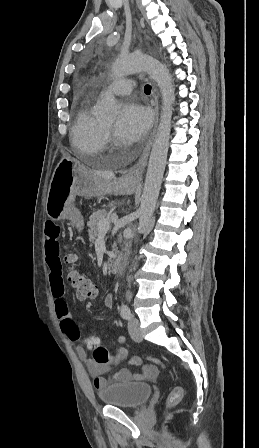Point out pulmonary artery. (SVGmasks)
<instances>
[{
  "label": "pulmonary artery",
  "mask_w": 259,
  "mask_h": 448,
  "mask_svg": "<svg viewBox=\"0 0 259 448\" xmlns=\"http://www.w3.org/2000/svg\"><path fill=\"white\" fill-rule=\"evenodd\" d=\"M119 71H120L119 76L106 88V90L111 94H117V95L129 94L131 90L120 87L119 82L123 81L126 76L136 73L139 70L137 69V67L133 65L123 63L119 65Z\"/></svg>",
  "instance_id": "e3ab8cb5"
}]
</instances>
